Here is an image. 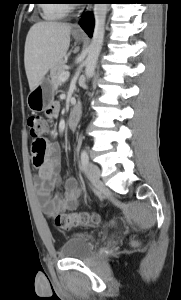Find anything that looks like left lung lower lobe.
Returning <instances> with one entry per match:
<instances>
[{"mask_svg":"<svg viewBox=\"0 0 181 300\" xmlns=\"http://www.w3.org/2000/svg\"><path fill=\"white\" fill-rule=\"evenodd\" d=\"M91 3H97V2H91ZM81 26L84 29V31L91 37L93 32V26H94V21L92 16L85 15V19H83Z\"/></svg>","mask_w":181,"mask_h":300,"instance_id":"left-lung-lower-lobe-1","label":"left lung lower lobe"}]
</instances>
